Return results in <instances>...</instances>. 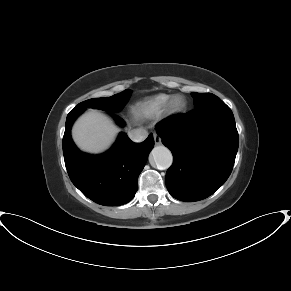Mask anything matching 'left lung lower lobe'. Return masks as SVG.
I'll return each mask as SVG.
<instances>
[{
	"label": "left lung lower lobe",
	"mask_w": 291,
	"mask_h": 291,
	"mask_svg": "<svg viewBox=\"0 0 291 291\" xmlns=\"http://www.w3.org/2000/svg\"><path fill=\"white\" fill-rule=\"evenodd\" d=\"M163 144L173 154L166 187L176 199L199 201L228 179L239 136L231 109L221 100L156 125Z\"/></svg>",
	"instance_id": "obj_1"
}]
</instances>
